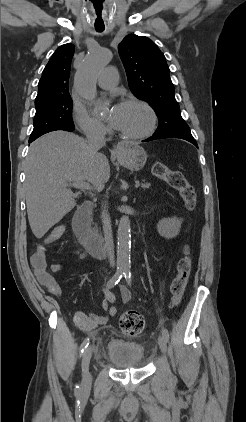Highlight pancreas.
I'll use <instances>...</instances> for the list:
<instances>
[{
    "label": "pancreas",
    "mask_w": 246,
    "mask_h": 422,
    "mask_svg": "<svg viewBox=\"0 0 246 422\" xmlns=\"http://www.w3.org/2000/svg\"><path fill=\"white\" fill-rule=\"evenodd\" d=\"M150 186V184H141L142 188H148Z\"/></svg>",
    "instance_id": "obj_1"
}]
</instances>
